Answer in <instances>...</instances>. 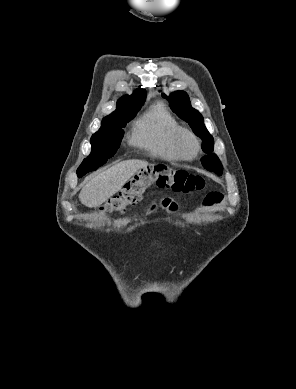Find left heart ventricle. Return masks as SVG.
I'll use <instances>...</instances> for the list:
<instances>
[{
    "instance_id": "b2bd125f",
    "label": "left heart ventricle",
    "mask_w": 296,
    "mask_h": 389,
    "mask_svg": "<svg viewBox=\"0 0 296 389\" xmlns=\"http://www.w3.org/2000/svg\"><path fill=\"white\" fill-rule=\"evenodd\" d=\"M186 151H187L188 154H191V153H192V148H191V146L187 145V146H186Z\"/></svg>"
}]
</instances>
